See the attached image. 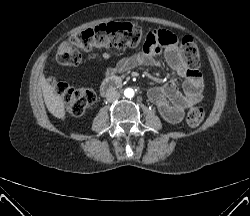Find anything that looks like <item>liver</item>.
<instances>
[{
    "label": "liver",
    "instance_id": "6515ba94",
    "mask_svg": "<svg viewBox=\"0 0 250 216\" xmlns=\"http://www.w3.org/2000/svg\"><path fill=\"white\" fill-rule=\"evenodd\" d=\"M43 98L48 111L56 118L63 119L65 117V104L63 98L55 92V88L45 79H40Z\"/></svg>",
    "mask_w": 250,
    "mask_h": 216
}]
</instances>
